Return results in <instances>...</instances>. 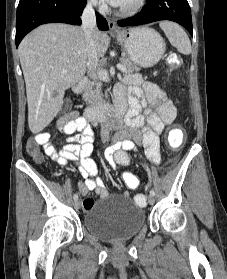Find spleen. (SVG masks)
I'll return each mask as SVG.
<instances>
[{
	"mask_svg": "<svg viewBox=\"0 0 227 279\" xmlns=\"http://www.w3.org/2000/svg\"><path fill=\"white\" fill-rule=\"evenodd\" d=\"M169 42L182 54L191 53V43L185 31L176 23L163 21L160 23Z\"/></svg>",
	"mask_w": 227,
	"mask_h": 279,
	"instance_id": "3e777b00",
	"label": "spleen"
}]
</instances>
